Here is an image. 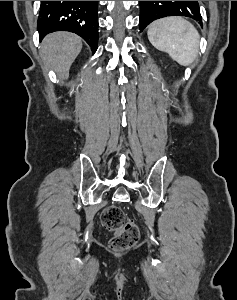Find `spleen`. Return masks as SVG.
Segmentation results:
<instances>
[{"mask_svg":"<svg viewBox=\"0 0 237 300\" xmlns=\"http://www.w3.org/2000/svg\"><path fill=\"white\" fill-rule=\"evenodd\" d=\"M148 39L158 51L188 67L194 63L199 53L200 35L189 21L183 17H166L151 23L147 31Z\"/></svg>","mask_w":237,"mask_h":300,"instance_id":"spleen-1","label":"spleen"}]
</instances>
